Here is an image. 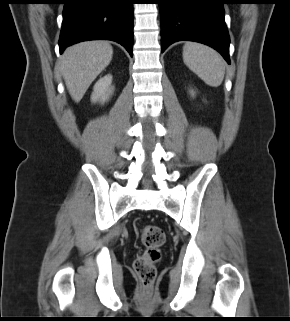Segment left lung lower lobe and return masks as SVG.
<instances>
[{
	"label": "left lung lower lobe",
	"mask_w": 290,
	"mask_h": 321,
	"mask_svg": "<svg viewBox=\"0 0 290 321\" xmlns=\"http://www.w3.org/2000/svg\"><path fill=\"white\" fill-rule=\"evenodd\" d=\"M226 0H161V52L181 40L217 50L230 64V38L224 21Z\"/></svg>",
	"instance_id": "0a47b994"
}]
</instances>
